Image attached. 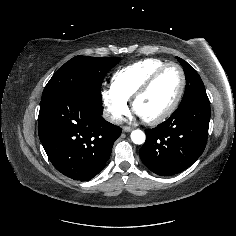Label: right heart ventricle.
Returning a JSON list of instances; mask_svg holds the SVG:
<instances>
[{"mask_svg":"<svg viewBox=\"0 0 236 236\" xmlns=\"http://www.w3.org/2000/svg\"><path fill=\"white\" fill-rule=\"evenodd\" d=\"M166 62L160 59H145L119 69L112 77V87L125 99H132L142 84Z\"/></svg>","mask_w":236,"mask_h":236,"instance_id":"e07e8e85","label":"right heart ventricle"}]
</instances>
